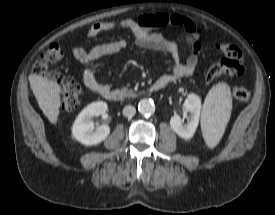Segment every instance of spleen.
Instances as JSON below:
<instances>
[{
  "mask_svg": "<svg viewBox=\"0 0 275 215\" xmlns=\"http://www.w3.org/2000/svg\"><path fill=\"white\" fill-rule=\"evenodd\" d=\"M231 109L229 86L224 82L214 85L206 96L201 117L203 137L209 148H214L219 143L229 121Z\"/></svg>",
  "mask_w": 275,
  "mask_h": 215,
  "instance_id": "1",
  "label": "spleen"
}]
</instances>
